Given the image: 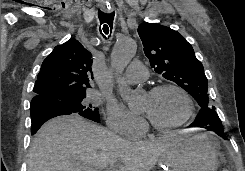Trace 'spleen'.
Listing matches in <instances>:
<instances>
[{"label": "spleen", "mask_w": 245, "mask_h": 171, "mask_svg": "<svg viewBox=\"0 0 245 171\" xmlns=\"http://www.w3.org/2000/svg\"><path fill=\"white\" fill-rule=\"evenodd\" d=\"M223 171H228L227 169H223Z\"/></svg>", "instance_id": "spleen-1"}]
</instances>
